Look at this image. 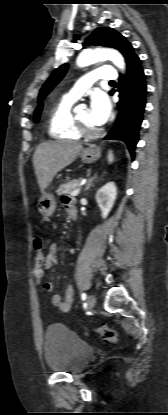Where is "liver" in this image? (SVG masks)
Instances as JSON below:
<instances>
[{
	"label": "liver",
	"mask_w": 168,
	"mask_h": 415,
	"mask_svg": "<svg viewBox=\"0 0 168 415\" xmlns=\"http://www.w3.org/2000/svg\"><path fill=\"white\" fill-rule=\"evenodd\" d=\"M82 148L81 143L72 141H48L36 148L33 165L42 193L54 176L76 159Z\"/></svg>",
	"instance_id": "6515ba94"
}]
</instances>
